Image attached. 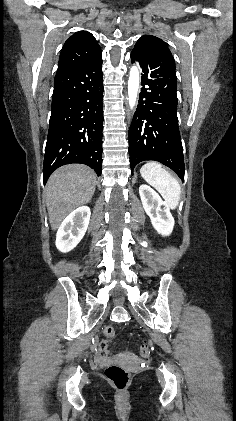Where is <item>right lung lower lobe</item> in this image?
Returning <instances> with one entry per match:
<instances>
[{
	"label": "right lung lower lobe",
	"instance_id": "1",
	"mask_svg": "<svg viewBox=\"0 0 236 421\" xmlns=\"http://www.w3.org/2000/svg\"><path fill=\"white\" fill-rule=\"evenodd\" d=\"M102 57L56 73L43 165L44 183L58 167L81 163L102 170Z\"/></svg>",
	"mask_w": 236,
	"mask_h": 421
}]
</instances>
